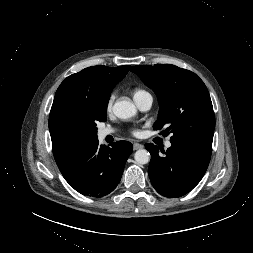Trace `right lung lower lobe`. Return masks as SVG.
<instances>
[{
	"label": "right lung lower lobe",
	"instance_id": "obj_1",
	"mask_svg": "<svg viewBox=\"0 0 253 253\" xmlns=\"http://www.w3.org/2000/svg\"><path fill=\"white\" fill-rule=\"evenodd\" d=\"M132 150L128 141H117L106 147L99 145L95 138L58 167L69 185L80 194L100 198L116 188Z\"/></svg>",
	"mask_w": 253,
	"mask_h": 253
}]
</instances>
